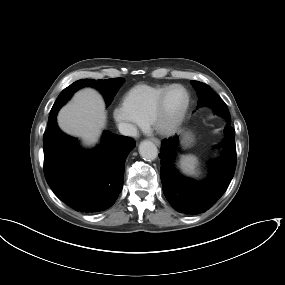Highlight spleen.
<instances>
[{"instance_id": "3e777b00", "label": "spleen", "mask_w": 285, "mask_h": 285, "mask_svg": "<svg viewBox=\"0 0 285 285\" xmlns=\"http://www.w3.org/2000/svg\"><path fill=\"white\" fill-rule=\"evenodd\" d=\"M198 164V158L193 154L183 155L181 157V168L188 175H196L198 173Z\"/></svg>"}]
</instances>
